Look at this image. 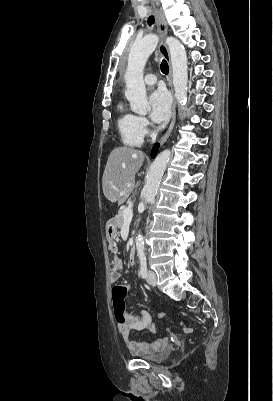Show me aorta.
<instances>
[{
    "instance_id": "762f6f07",
    "label": "aorta",
    "mask_w": 273,
    "mask_h": 401,
    "mask_svg": "<svg viewBox=\"0 0 273 401\" xmlns=\"http://www.w3.org/2000/svg\"><path fill=\"white\" fill-rule=\"evenodd\" d=\"M158 44V36L150 34L136 41L129 53L128 65L125 73V96L130 102L131 110L145 115L150 106L146 97V87L143 80V71L146 62ZM168 45L173 74L175 98L181 109L187 103L188 65L187 55L183 45L174 37L166 39ZM172 152L169 149L162 151L153 161L145 180L144 200L146 203L154 201L162 176L170 161ZM144 237L138 234L136 238L137 256L145 258Z\"/></svg>"
}]
</instances>
